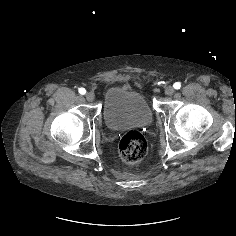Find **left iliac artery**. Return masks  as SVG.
Returning a JSON list of instances; mask_svg holds the SVG:
<instances>
[{
    "instance_id": "obj_1",
    "label": "left iliac artery",
    "mask_w": 236,
    "mask_h": 236,
    "mask_svg": "<svg viewBox=\"0 0 236 236\" xmlns=\"http://www.w3.org/2000/svg\"><path fill=\"white\" fill-rule=\"evenodd\" d=\"M173 87H174L175 89H180L181 84H180L179 82H176V83L173 84Z\"/></svg>"
}]
</instances>
